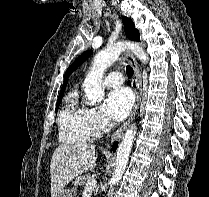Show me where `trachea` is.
<instances>
[{"label":"trachea","mask_w":209,"mask_h":197,"mask_svg":"<svg viewBox=\"0 0 209 197\" xmlns=\"http://www.w3.org/2000/svg\"><path fill=\"white\" fill-rule=\"evenodd\" d=\"M126 73H127V75H128L129 77H132V76H133L134 71H133V69H132L131 66H129V65L126 66Z\"/></svg>","instance_id":"1"}]
</instances>
